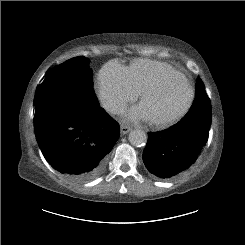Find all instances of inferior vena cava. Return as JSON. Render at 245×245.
<instances>
[{
  "mask_svg": "<svg viewBox=\"0 0 245 245\" xmlns=\"http://www.w3.org/2000/svg\"><path fill=\"white\" fill-rule=\"evenodd\" d=\"M104 108L112 114H123L126 110L125 104L113 101L104 103Z\"/></svg>",
  "mask_w": 245,
  "mask_h": 245,
  "instance_id": "inferior-vena-cava-1",
  "label": "inferior vena cava"
}]
</instances>
